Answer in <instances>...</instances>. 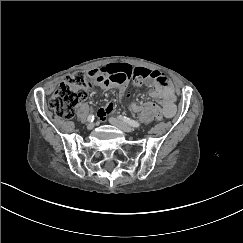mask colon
I'll list each match as a JSON object with an SVG mask.
<instances>
[{"instance_id": "5ec220e1", "label": "colon", "mask_w": 243, "mask_h": 243, "mask_svg": "<svg viewBox=\"0 0 243 243\" xmlns=\"http://www.w3.org/2000/svg\"><path fill=\"white\" fill-rule=\"evenodd\" d=\"M88 87L89 81L84 74L76 72L67 76L51 96L48 103L49 107L60 118H71L74 115L76 106L86 99ZM132 109L136 113L152 112L157 119L161 118L160 108L153 103L133 104Z\"/></svg>"}]
</instances>
